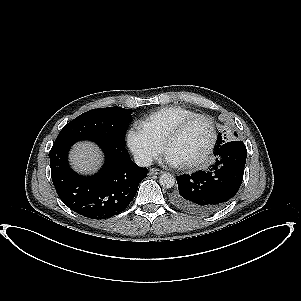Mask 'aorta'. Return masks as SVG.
Instances as JSON below:
<instances>
[{"instance_id": "aorta-1", "label": "aorta", "mask_w": 301, "mask_h": 301, "mask_svg": "<svg viewBox=\"0 0 301 301\" xmlns=\"http://www.w3.org/2000/svg\"><path fill=\"white\" fill-rule=\"evenodd\" d=\"M175 177L170 173H163L159 178V184L163 188H172L175 185Z\"/></svg>"}]
</instances>
